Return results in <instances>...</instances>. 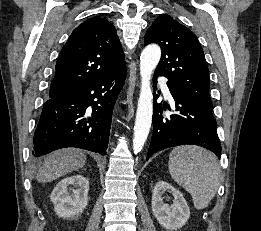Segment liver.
I'll return each instance as SVG.
<instances>
[{"mask_svg": "<svg viewBox=\"0 0 261 231\" xmlns=\"http://www.w3.org/2000/svg\"><path fill=\"white\" fill-rule=\"evenodd\" d=\"M86 155L82 150L67 148L50 153L39 168L36 180L51 182L84 166Z\"/></svg>", "mask_w": 261, "mask_h": 231, "instance_id": "1", "label": "liver"}]
</instances>
